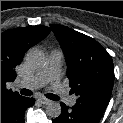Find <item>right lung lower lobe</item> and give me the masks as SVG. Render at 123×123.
<instances>
[{"mask_svg":"<svg viewBox=\"0 0 123 123\" xmlns=\"http://www.w3.org/2000/svg\"><path fill=\"white\" fill-rule=\"evenodd\" d=\"M34 103L35 99L22 96L1 102V123H24V113Z\"/></svg>","mask_w":123,"mask_h":123,"instance_id":"1","label":"right lung lower lobe"}]
</instances>
